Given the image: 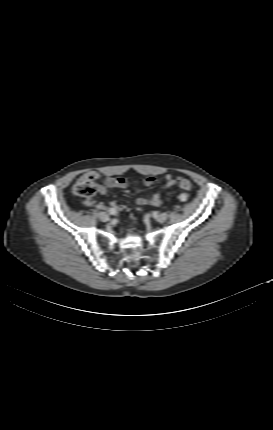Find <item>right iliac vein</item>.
Masks as SVG:
<instances>
[{
  "label": "right iliac vein",
  "mask_w": 273,
  "mask_h": 430,
  "mask_svg": "<svg viewBox=\"0 0 273 430\" xmlns=\"http://www.w3.org/2000/svg\"><path fill=\"white\" fill-rule=\"evenodd\" d=\"M98 216H99L100 220L103 221V222H106V221L109 220V214L106 213V212H100L98 214Z\"/></svg>",
  "instance_id": "1"
}]
</instances>
